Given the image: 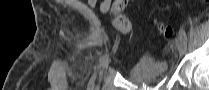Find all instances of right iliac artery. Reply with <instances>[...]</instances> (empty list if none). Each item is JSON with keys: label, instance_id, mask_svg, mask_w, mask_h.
<instances>
[{"label": "right iliac artery", "instance_id": "82829eb1", "mask_svg": "<svg viewBox=\"0 0 209 90\" xmlns=\"http://www.w3.org/2000/svg\"><path fill=\"white\" fill-rule=\"evenodd\" d=\"M108 59V55L105 54L100 58V63L102 64L103 62H105ZM95 71H96V67H95ZM94 81H95V74L92 76L91 80L89 81L88 84V90H93L94 87Z\"/></svg>", "mask_w": 209, "mask_h": 90}]
</instances>
